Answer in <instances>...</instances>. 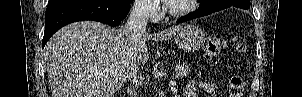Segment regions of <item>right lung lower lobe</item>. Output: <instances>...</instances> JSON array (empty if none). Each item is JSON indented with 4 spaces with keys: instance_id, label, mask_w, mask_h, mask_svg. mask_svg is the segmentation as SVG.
<instances>
[{
    "instance_id": "98d812e1",
    "label": "right lung lower lobe",
    "mask_w": 302,
    "mask_h": 97,
    "mask_svg": "<svg viewBox=\"0 0 302 97\" xmlns=\"http://www.w3.org/2000/svg\"><path fill=\"white\" fill-rule=\"evenodd\" d=\"M131 2L121 0H49L42 48L61 27L77 21L94 20L117 26L127 16Z\"/></svg>"
}]
</instances>
